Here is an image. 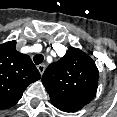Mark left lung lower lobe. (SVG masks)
I'll use <instances>...</instances> for the list:
<instances>
[{"label": "left lung lower lobe", "mask_w": 117, "mask_h": 117, "mask_svg": "<svg viewBox=\"0 0 117 117\" xmlns=\"http://www.w3.org/2000/svg\"><path fill=\"white\" fill-rule=\"evenodd\" d=\"M59 109V108H58ZM60 110H62V111H64V112H70V111H68V110H65V109H60Z\"/></svg>", "instance_id": "left-lung-lower-lobe-1"}]
</instances>
